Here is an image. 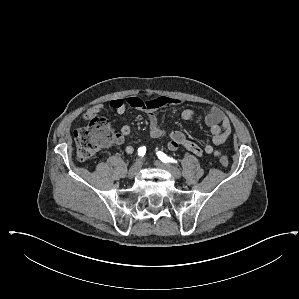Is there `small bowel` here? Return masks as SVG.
I'll list each match as a JSON object with an SVG mask.
<instances>
[{"mask_svg": "<svg viewBox=\"0 0 299 299\" xmlns=\"http://www.w3.org/2000/svg\"><path fill=\"white\" fill-rule=\"evenodd\" d=\"M182 104V101L177 98H171L166 96H160L151 100H143L136 96H129L126 100L113 99L109 105L118 114H123L126 110V106L140 110L145 113L148 124L149 132L153 138H162L166 135V131L159 123V119L155 114V111L163 107H177ZM104 109L103 104H96L89 108L84 114V120L88 121L92 117L97 116ZM180 116L183 120H191L196 116V111L193 108H184ZM204 121L210 128L212 134V142L201 147L197 143L191 141L187 136L179 130H174L169 133L168 148L172 151L183 147L188 151L194 153L197 156H202L203 153L211 155H219V151L215 149L226 142L232 133V126L229 118L219 108H212L204 114ZM131 133V127L127 124L123 125L120 132L116 134L115 144H122L125 137ZM135 148L131 144L125 146V152L132 154Z\"/></svg>", "mask_w": 299, "mask_h": 299, "instance_id": "small-bowel-1", "label": "small bowel"}]
</instances>
